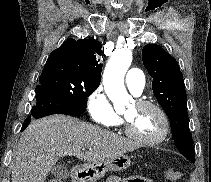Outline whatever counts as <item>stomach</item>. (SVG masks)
<instances>
[{
	"label": "stomach",
	"mask_w": 211,
	"mask_h": 182,
	"mask_svg": "<svg viewBox=\"0 0 211 182\" xmlns=\"http://www.w3.org/2000/svg\"><path fill=\"white\" fill-rule=\"evenodd\" d=\"M131 165V159L123 154L100 162H92L78 167L73 173L74 182H97L108 171H124Z\"/></svg>",
	"instance_id": "obj_1"
}]
</instances>
